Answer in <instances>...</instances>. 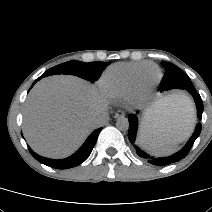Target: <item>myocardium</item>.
I'll use <instances>...</instances> for the list:
<instances>
[{
    "label": "myocardium",
    "instance_id": "myocardium-1",
    "mask_svg": "<svg viewBox=\"0 0 212 212\" xmlns=\"http://www.w3.org/2000/svg\"><path fill=\"white\" fill-rule=\"evenodd\" d=\"M143 71H147V70L142 69L141 71H139L137 73L136 78H135L134 90H133L132 94L130 95V98H132L136 101L144 100L150 94L151 89L153 87L151 85H147V84L143 83L140 80ZM160 79H161V72H160V69L158 68L157 72H156L155 83L159 82Z\"/></svg>",
    "mask_w": 212,
    "mask_h": 212
}]
</instances>
